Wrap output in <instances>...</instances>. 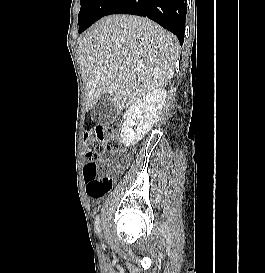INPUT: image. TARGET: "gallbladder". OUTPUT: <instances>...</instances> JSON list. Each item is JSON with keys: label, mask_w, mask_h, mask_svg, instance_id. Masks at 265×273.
Here are the masks:
<instances>
[{"label": "gallbladder", "mask_w": 265, "mask_h": 273, "mask_svg": "<svg viewBox=\"0 0 265 273\" xmlns=\"http://www.w3.org/2000/svg\"><path fill=\"white\" fill-rule=\"evenodd\" d=\"M116 115L117 110L113 107L108 94H103L91 111V117L97 123L110 122Z\"/></svg>", "instance_id": "1"}]
</instances>
